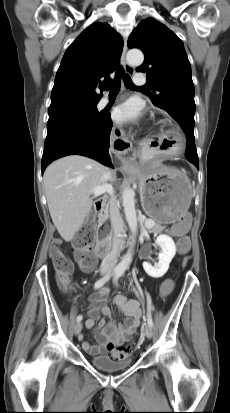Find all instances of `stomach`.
<instances>
[{
	"label": "stomach",
	"instance_id": "0dacf381",
	"mask_svg": "<svg viewBox=\"0 0 230 413\" xmlns=\"http://www.w3.org/2000/svg\"><path fill=\"white\" fill-rule=\"evenodd\" d=\"M142 208L160 224H169L185 214L192 199L187 175L165 166L138 172Z\"/></svg>",
	"mask_w": 230,
	"mask_h": 413
}]
</instances>
